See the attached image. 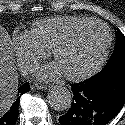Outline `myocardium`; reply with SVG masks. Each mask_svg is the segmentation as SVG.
<instances>
[{
  "label": "myocardium",
  "mask_w": 125,
  "mask_h": 125,
  "mask_svg": "<svg viewBox=\"0 0 125 125\" xmlns=\"http://www.w3.org/2000/svg\"><path fill=\"white\" fill-rule=\"evenodd\" d=\"M93 24H98V25L102 26L106 31L107 39H106V43H105L103 52L100 55L97 62L94 65H92L91 67H89L88 69H86L85 71L80 72L78 74H65L67 79H69L71 81H81L86 78H89V77L93 76L94 74H96L97 72H99L103 68L106 61L108 60L110 49L112 46V41H113V34H112L110 27L106 23L102 22L101 20L91 19V18L87 19V20L82 21L81 23L75 25L70 30H68L65 34H63L53 44V46L51 48V55L53 56L54 59H56L58 51L64 45L69 43L78 31H80L81 29H83L86 26L93 25Z\"/></svg>",
  "instance_id": "1"
}]
</instances>
